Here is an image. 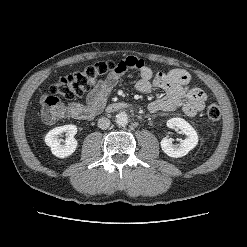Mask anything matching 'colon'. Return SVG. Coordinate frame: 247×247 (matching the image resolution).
Returning a JSON list of instances; mask_svg holds the SVG:
<instances>
[{"label": "colon", "mask_w": 247, "mask_h": 247, "mask_svg": "<svg viewBox=\"0 0 247 247\" xmlns=\"http://www.w3.org/2000/svg\"><path fill=\"white\" fill-rule=\"evenodd\" d=\"M129 63L101 61L90 65L71 75L59 78L51 87L50 93L44 94L40 100V114L44 122L53 124L64 119L68 114V108L59 99L61 95L67 99L82 96L95 84L101 81L108 73L124 71ZM221 117V111L215 104L207 107L206 118L211 124H215Z\"/></svg>", "instance_id": "colon-1"}]
</instances>
